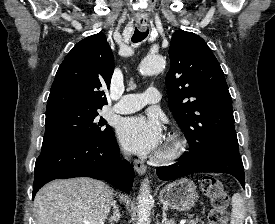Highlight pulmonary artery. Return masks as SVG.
I'll use <instances>...</instances> for the list:
<instances>
[{
    "label": "pulmonary artery",
    "instance_id": "1",
    "mask_svg": "<svg viewBox=\"0 0 275 224\" xmlns=\"http://www.w3.org/2000/svg\"><path fill=\"white\" fill-rule=\"evenodd\" d=\"M162 93L158 88L149 87L140 94L124 95L118 103L113 106L117 113L127 114L136 112L143 107L160 101Z\"/></svg>",
    "mask_w": 275,
    "mask_h": 224
}]
</instances>
